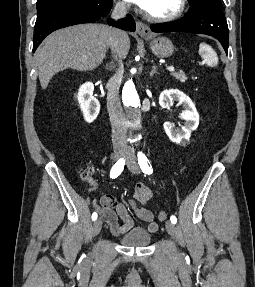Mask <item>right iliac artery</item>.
<instances>
[{
  "label": "right iliac artery",
  "instance_id": "right-iliac-artery-1",
  "mask_svg": "<svg viewBox=\"0 0 255 287\" xmlns=\"http://www.w3.org/2000/svg\"><path fill=\"white\" fill-rule=\"evenodd\" d=\"M124 164H125V160L123 158H121L113 165V167L111 168V171H110V177L112 179L117 178L121 174V172L124 169ZM96 219H97V213L94 212L92 214V220H96Z\"/></svg>",
  "mask_w": 255,
  "mask_h": 287
}]
</instances>
